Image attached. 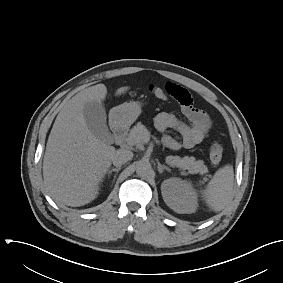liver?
<instances>
[{
	"mask_svg": "<svg viewBox=\"0 0 283 283\" xmlns=\"http://www.w3.org/2000/svg\"><path fill=\"white\" fill-rule=\"evenodd\" d=\"M128 89L121 87L116 95ZM106 95V86L97 84L65 101L48 137L43 159L44 183L49 194L65 205L79 207L93 201L111 166L115 147L93 135L83 115L86 103H101Z\"/></svg>",
	"mask_w": 283,
	"mask_h": 283,
	"instance_id": "liver-1",
	"label": "liver"
}]
</instances>
